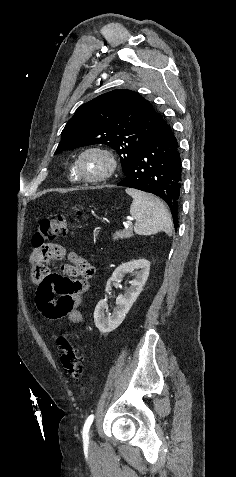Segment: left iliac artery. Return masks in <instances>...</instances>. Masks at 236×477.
<instances>
[{
    "label": "left iliac artery",
    "mask_w": 236,
    "mask_h": 477,
    "mask_svg": "<svg viewBox=\"0 0 236 477\" xmlns=\"http://www.w3.org/2000/svg\"><path fill=\"white\" fill-rule=\"evenodd\" d=\"M93 420H94V415L91 414L85 421L83 432H82L84 443H89V429Z\"/></svg>",
    "instance_id": "obj_1"
}]
</instances>
